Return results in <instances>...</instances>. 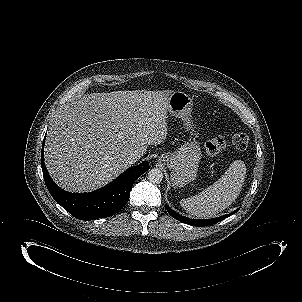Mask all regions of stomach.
<instances>
[{"label":"stomach","mask_w":302,"mask_h":302,"mask_svg":"<svg viewBox=\"0 0 302 302\" xmlns=\"http://www.w3.org/2000/svg\"><path fill=\"white\" fill-rule=\"evenodd\" d=\"M193 99L182 92H173L168 99L167 111L181 118L185 126L193 130L189 116L192 112ZM202 159V151L195 140H189L178 150L164 153L159 157V162L171 170L170 180L174 186L183 187L196 179L198 166Z\"/></svg>","instance_id":"stomach-1"}]
</instances>
